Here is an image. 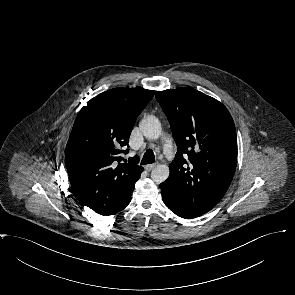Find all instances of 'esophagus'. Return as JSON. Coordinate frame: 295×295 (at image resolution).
I'll return each instance as SVG.
<instances>
[{
  "instance_id": "esophagus-1",
  "label": "esophagus",
  "mask_w": 295,
  "mask_h": 295,
  "mask_svg": "<svg viewBox=\"0 0 295 295\" xmlns=\"http://www.w3.org/2000/svg\"><path fill=\"white\" fill-rule=\"evenodd\" d=\"M156 167V164H148V165H145L144 168L146 171H151L153 170L154 168Z\"/></svg>"
}]
</instances>
